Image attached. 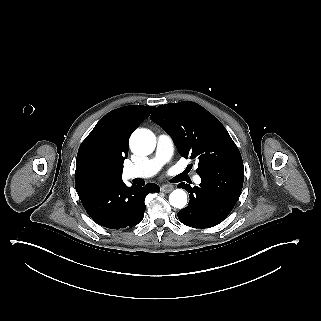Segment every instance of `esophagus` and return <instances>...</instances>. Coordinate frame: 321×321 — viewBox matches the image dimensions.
Returning <instances> with one entry per match:
<instances>
[{
	"label": "esophagus",
	"mask_w": 321,
	"mask_h": 321,
	"mask_svg": "<svg viewBox=\"0 0 321 321\" xmlns=\"http://www.w3.org/2000/svg\"><path fill=\"white\" fill-rule=\"evenodd\" d=\"M173 190V185L172 184H164L161 186V191L163 193H170Z\"/></svg>",
	"instance_id": "esophagus-1"
}]
</instances>
